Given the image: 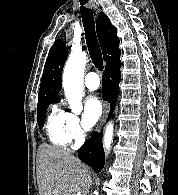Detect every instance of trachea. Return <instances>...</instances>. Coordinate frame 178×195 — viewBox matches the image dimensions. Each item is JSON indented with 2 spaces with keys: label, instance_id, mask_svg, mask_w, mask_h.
<instances>
[{
  "label": "trachea",
  "instance_id": "obj_1",
  "mask_svg": "<svg viewBox=\"0 0 178 195\" xmlns=\"http://www.w3.org/2000/svg\"><path fill=\"white\" fill-rule=\"evenodd\" d=\"M79 1L81 5L80 13H81L83 26H84L88 51H89L90 57L95 67L98 70L102 71L103 70V58H102L100 45H99L96 32H95L93 12L91 9L85 6L88 0H79Z\"/></svg>",
  "mask_w": 178,
  "mask_h": 195
}]
</instances>
